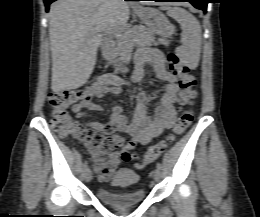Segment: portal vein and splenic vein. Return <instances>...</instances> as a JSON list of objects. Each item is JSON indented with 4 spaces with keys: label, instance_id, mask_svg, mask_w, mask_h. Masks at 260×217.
I'll use <instances>...</instances> for the list:
<instances>
[{
    "label": "portal vein and splenic vein",
    "instance_id": "18ae733b",
    "mask_svg": "<svg viewBox=\"0 0 260 217\" xmlns=\"http://www.w3.org/2000/svg\"><path fill=\"white\" fill-rule=\"evenodd\" d=\"M107 34L111 35V34H117L118 33V30H115V29H109L106 31Z\"/></svg>",
    "mask_w": 260,
    "mask_h": 217
}]
</instances>
